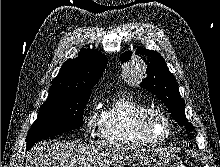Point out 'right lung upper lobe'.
Returning <instances> with one entry per match:
<instances>
[{"instance_id": "right-lung-upper-lobe-1", "label": "right lung upper lobe", "mask_w": 220, "mask_h": 167, "mask_svg": "<svg viewBox=\"0 0 220 167\" xmlns=\"http://www.w3.org/2000/svg\"><path fill=\"white\" fill-rule=\"evenodd\" d=\"M108 63L107 58L98 51L81 49L78 57L67 60L59 74L53 79L48 99L60 96L91 92Z\"/></svg>"}]
</instances>
